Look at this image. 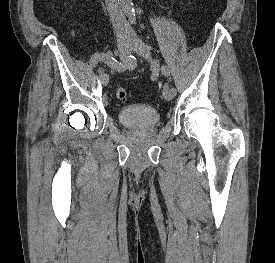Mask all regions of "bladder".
<instances>
[{
    "label": "bladder",
    "mask_w": 275,
    "mask_h": 263,
    "mask_svg": "<svg viewBox=\"0 0 275 263\" xmlns=\"http://www.w3.org/2000/svg\"><path fill=\"white\" fill-rule=\"evenodd\" d=\"M118 121L125 127L135 130L149 129L160 121V113L146 105H131L121 108Z\"/></svg>",
    "instance_id": "bladder-1"
}]
</instances>
